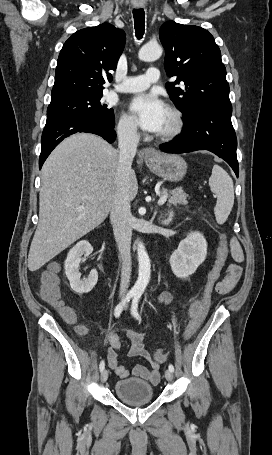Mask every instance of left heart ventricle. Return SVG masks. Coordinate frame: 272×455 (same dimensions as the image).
I'll return each mask as SVG.
<instances>
[{"label": "left heart ventricle", "instance_id": "1", "mask_svg": "<svg viewBox=\"0 0 272 455\" xmlns=\"http://www.w3.org/2000/svg\"><path fill=\"white\" fill-rule=\"evenodd\" d=\"M169 125H170V116L167 113L166 120H165V123L163 125V128H162L161 132L165 131L169 127Z\"/></svg>", "mask_w": 272, "mask_h": 455}]
</instances>
